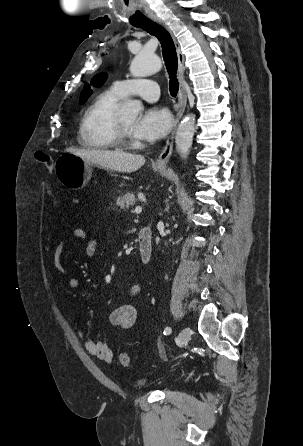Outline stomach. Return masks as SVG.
<instances>
[{"instance_id":"1","label":"stomach","mask_w":303,"mask_h":446,"mask_svg":"<svg viewBox=\"0 0 303 446\" xmlns=\"http://www.w3.org/2000/svg\"><path fill=\"white\" fill-rule=\"evenodd\" d=\"M92 163L84 161L80 157L65 153L55 161V175L58 181L73 190H79L86 186L92 175ZM164 174L165 167H157Z\"/></svg>"}]
</instances>
